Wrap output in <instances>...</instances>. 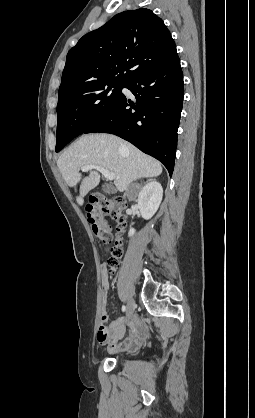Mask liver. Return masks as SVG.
<instances>
[{"label":"liver","instance_id":"liver-1","mask_svg":"<svg viewBox=\"0 0 255 418\" xmlns=\"http://www.w3.org/2000/svg\"><path fill=\"white\" fill-rule=\"evenodd\" d=\"M97 165L115 174L114 184L123 192L139 178H152L162 173L156 159L144 154L132 144L110 134H89L80 137L58 159L57 165L65 182L75 187L80 181L76 201L83 205L84 197L100 183V174L91 170L82 178V166Z\"/></svg>","mask_w":255,"mask_h":418}]
</instances>
